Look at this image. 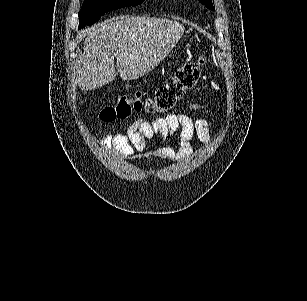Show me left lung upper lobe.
<instances>
[{"instance_id": "left-lung-upper-lobe-1", "label": "left lung upper lobe", "mask_w": 307, "mask_h": 301, "mask_svg": "<svg viewBox=\"0 0 307 301\" xmlns=\"http://www.w3.org/2000/svg\"><path fill=\"white\" fill-rule=\"evenodd\" d=\"M199 2H201L202 4H204L207 8L211 9V10H215V8L213 7L212 1L211 0H199Z\"/></svg>"}]
</instances>
